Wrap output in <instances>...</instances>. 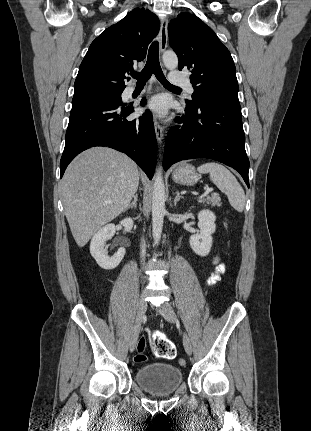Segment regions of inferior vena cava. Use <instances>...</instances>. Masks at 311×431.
I'll use <instances>...</instances> for the list:
<instances>
[{
	"label": "inferior vena cava",
	"mask_w": 311,
	"mask_h": 431,
	"mask_svg": "<svg viewBox=\"0 0 311 431\" xmlns=\"http://www.w3.org/2000/svg\"><path fill=\"white\" fill-rule=\"evenodd\" d=\"M145 253H146L145 241H144V239H142V241H141V251H140V255H141L142 259H144Z\"/></svg>",
	"instance_id": "obj_1"
}]
</instances>
